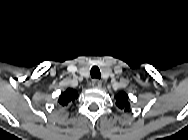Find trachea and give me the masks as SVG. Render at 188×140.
Segmentation results:
<instances>
[{"label": "trachea", "mask_w": 188, "mask_h": 140, "mask_svg": "<svg viewBox=\"0 0 188 140\" xmlns=\"http://www.w3.org/2000/svg\"><path fill=\"white\" fill-rule=\"evenodd\" d=\"M90 74L92 78H97V79L101 78L100 69L97 66H93L91 68Z\"/></svg>", "instance_id": "3493384b"}]
</instances>
